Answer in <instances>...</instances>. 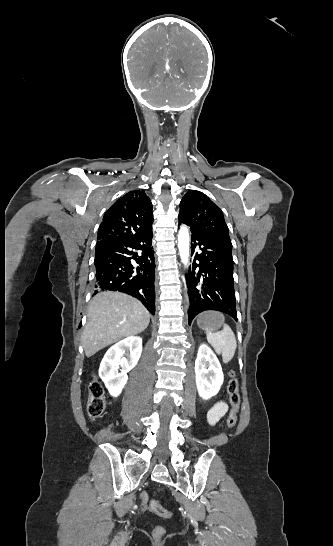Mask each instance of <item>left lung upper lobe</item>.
I'll return each instance as SVG.
<instances>
[{
	"label": "left lung upper lobe",
	"instance_id": "left-lung-upper-lobe-1",
	"mask_svg": "<svg viewBox=\"0 0 333 546\" xmlns=\"http://www.w3.org/2000/svg\"><path fill=\"white\" fill-rule=\"evenodd\" d=\"M178 218L190 228L217 234L230 240L223 212L200 191L190 190L184 195Z\"/></svg>",
	"mask_w": 333,
	"mask_h": 546
}]
</instances>
